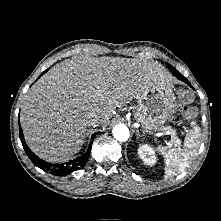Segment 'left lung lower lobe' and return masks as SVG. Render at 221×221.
<instances>
[{
	"label": "left lung lower lobe",
	"mask_w": 221,
	"mask_h": 221,
	"mask_svg": "<svg viewBox=\"0 0 221 221\" xmlns=\"http://www.w3.org/2000/svg\"><path fill=\"white\" fill-rule=\"evenodd\" d=\"M174 75H175L178 79L182 80L183 82H185V83H187L189 86H191L190 83H189V81H188L183 75H181L179 72H178V73H174ZM191 87H192V86H191Z\"/></svg>",
	"instance_id": "left-lung-lower-lobe-1"
}]
</instances>
